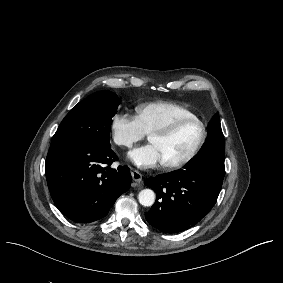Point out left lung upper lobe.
I'll list each match as a JSON object with an SVG mask.
<instances>
[{
  "label": "left lung upper lobe",
  "instance_id": "5c2ea615",
  "mask_svg": "<svg viewBox=\"0 0 283 283\" xmlns=\"http://www.w3.org/2000/svg\"><path fill=\"white\" fill-rule=\"evenodd\" d=\"M210 148H215L222 156L225 155L224 136L221 130L220 118L216 114L209 123L207 141L199 153L212 151ZM224 172L219 174V178H224Z\"/></svg>",
  "mask_w": 283,
  "mask_h": 283
}]
</instances>
